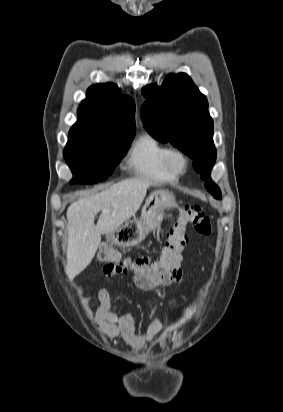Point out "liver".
Returning a JSON list of instances; mask_svg holds the SVG:
<instances>
[{
  "mask_svg": "<svg viewBox=\"0 0 283 412\" xmlns=\"http://www.w3.org/2000/svg\"><path fill=\"white\" fill-rule=\"evenodd\" d=\"M151 185L153 182L147 178L126 179L68 207L66 274L70 280L90 264L101 235L114 232L136 214ZM104 209H110V212H102L95 225V216Z\"/></svg>",
  "mask_w": 283,
  "mask_h": 412,
  "instance_id": "obj_1",
  "label": "liver"
}]
</instances>
